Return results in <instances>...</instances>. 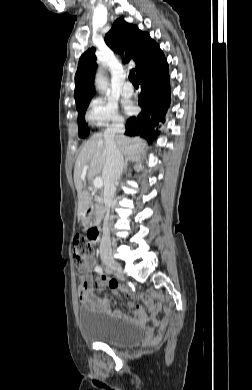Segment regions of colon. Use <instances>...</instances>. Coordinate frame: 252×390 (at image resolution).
<instances>
[{
    "mask_svg": "<svg viewBox=\"0 0 252 390\" xmlns=\"http://www.w3.org/2000/svg\"><path fill=\"white\" fill-rule=\"evenodd\" d=\"M95 252V230L90 228L86 235L76 236L73 241V259L79 271L83 270Z\"/></svg>",
    "mask_w": 252,
    "mask_h": 390,
    "instance_id": "5ec220e1",
    "label": "colon"
}]
</instances>
